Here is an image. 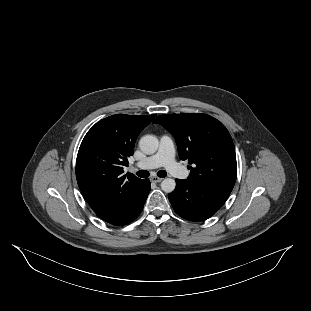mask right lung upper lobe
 <instances>
[{
  "label": "right lung upper lobe",
  "mask_w": 311,
  "mask_h": 311,
  "mask_svg": "<svg viewBox=\"0 0 311 311\" xmlns=\"http://www.w3.org/2000/svg\"><path fill=\"white\" fill-rule=\"evenodd\" d=\"M156 115L117 114L97 122L85 135L76 160L79 188L98 216L124 202L142 182L123 174L139 133Z\"/></svg>",
  "instance_id": "cb5924a9"
}]
</instances>
